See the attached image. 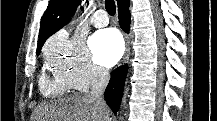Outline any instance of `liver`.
<instances>
[{
  "instance_id": "liver-1",
  "label": "liver",
  "mask_w": 217,
  "mask_h": 121,
  "mask_svg": "<svg viewBox=\"0 0 217 121\" xmlns=\"http://www.w3.org/2000/svg\"><path fill=\"white\" fill-rule=\"evenodd\" d=\"M36 121H110V113L88 96L62 98L55 103L38 107Z\"/></svg>"
}]
</instances>
